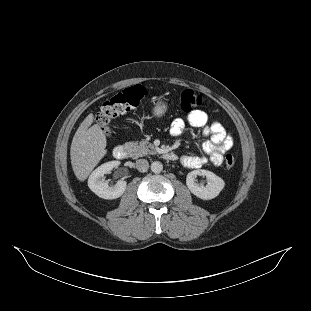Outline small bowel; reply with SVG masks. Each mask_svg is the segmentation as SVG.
Instances as JSON below:
<instances>
[{
    "instance_id": "1",
    "label": "small bowel",
    "mask_w": 311,
    "mask_h": 311,
    "mask_svg": "<svg viewBox=\"0 0 311 311\" xmlns=\"http://www.w3.org/2000/svg\"><path fill=\"white\" fill-rule=\"evenodd\" d=\"M187 122L193 127L200 128L202 134L208 139L202 144L204 155L186 154L180 157V163L187 168L197 169L205 165L208 161L215 166H220L223 162L224 154L233 146L232 137L226 132L220 122H210L206 112L202 110L192 111ZM185 128V121L181 118L175 119L170 126L172 136H180Z\"/></svg>"
}]
</instances>
